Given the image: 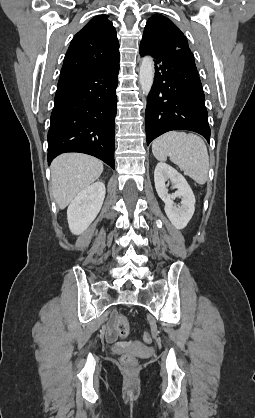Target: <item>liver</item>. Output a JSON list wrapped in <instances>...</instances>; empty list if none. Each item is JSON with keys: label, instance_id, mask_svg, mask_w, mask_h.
Instances as JSON below:
<instances>
[{"label": "liver", "instance_id": "1", "mask_svg": "<svg viewBox=\"0 0 255 418\" xmlns=\"http://www.w3.org/2000/svg\"><path fill=\"white\" fill-rule=\"evenodd\" d=\"M102 172V161L89 155L66 153L54 159L51 164V184L58 207H67L76 195L96 181Z\"/></svg>", "mask_w": 255, "mask_h": 418}]
</instances>
